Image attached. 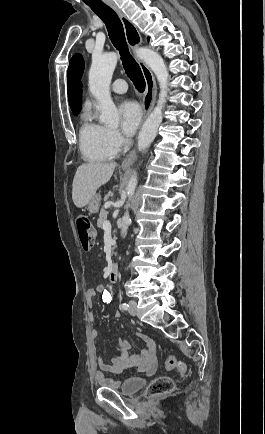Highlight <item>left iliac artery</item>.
I'll use <instances>...</instances> for the list:
<instances>
[{"label": "left iliac artery", "instance_id": "left-iliac-artery-1", "mask_svg": "<svg viewBox=\"0 0 265 434\" xmlns=\"http://www.w3.org/2000/svg\"><path fill=\"white\" fill-rule=\"evenodd\" d=\"M128 307H129V305H128L127 303H123V304L121 305V308H122L123 310H127Z\"/></svg>", "mask_w": 265, "mask_h": 434}]
</instances>
